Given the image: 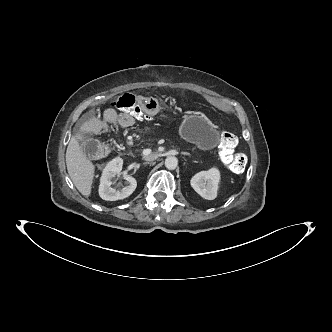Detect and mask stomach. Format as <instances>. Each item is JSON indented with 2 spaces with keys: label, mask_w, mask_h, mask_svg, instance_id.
I'll list each match as a JSON object with an SVG mask.
<instances>
[{
  "label": "stomach",
  "mask_w": 332,
  "mask_h": 332,
  "mask_svg": "<svg viewBox=\"0 0 332 332\" xmlns=\"http://www.w3.org/2000/svg\"><path fill=\"white\" fill-rule=\"evenodd\" d=\"M179 131L186 140L205 148H213L220 141V132L208 119L200 115L186 116Z\"/></svg>",
  "instance_id": "1"
}]
</instances>
